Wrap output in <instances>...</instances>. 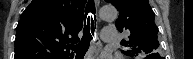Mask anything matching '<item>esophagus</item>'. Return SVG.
Segmentation results:
<instances>
[{"mask_svg": "<svg viewBox=\"0 0 193 59\" xmlns=\"http://www.w3.org/2000/svg\"><path fill=\"white\" fill-rule=\"evenodd\" d=\"M94 3H95V6H96V9H98V5H99L98 1L95 0Z\"/></svg>", "mask_w": 193, "mask_h": 59, "instance_id": "esophagus-1", "label": "esophagus"}]
</instances>
